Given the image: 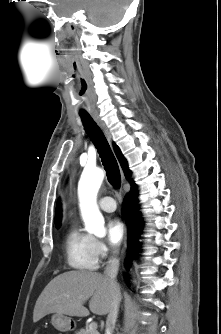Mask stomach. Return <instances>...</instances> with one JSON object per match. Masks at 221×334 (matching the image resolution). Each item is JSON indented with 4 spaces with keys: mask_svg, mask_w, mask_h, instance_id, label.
Listing matches in <instances>:
<instances>
[{
    "mask_svg": "<svg viewBox=\"0 0 221 334\" xmlns=\"http://www.w3.org/2000/svg\"><path fill=\"white\" fill-rule=\"evenodd\" d=\"M52 325L59 331L66 332L74 328V324L71 318L55 313L51 318Z\"/></svg>",
    "mask_w": 221,
    "mask_h": 334,
    "instance_id": "stomach-1",
    "label": "stomach"
}]
</instances>
